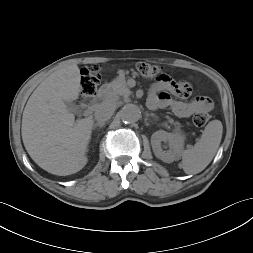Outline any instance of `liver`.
I'll return each mask as SVG.
<instances>
[{
  "instance_id": "liver-1",
  "label": "liver",
  "mask_w": 253,
  "mask_h": 253,
  "mask_svg": "<svg viewBox=\"0 0 253 253\" xmlns=\"http://www.w3.org/2000/svg\"><path fill=\"white\" fill-rule=\"evenodd\" d=\"M80 82L76 64L56 70L34 90L23 111L25 149L39 167L51 174H74L88 161L93 118L75 121L65 104L79 98Z\"/></svg>"
}]
</instances>
